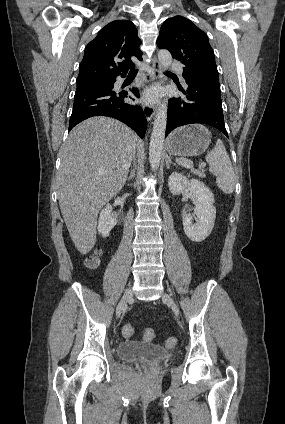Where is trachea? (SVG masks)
I'll return each mask as SVG.
<instances>
[{"label":"trachea","instance_id":"3493384b","mask_svg":"<svg viewBox=\"0 0 285 424\" xmlns=\"http://www.w3.org/2000/svg\"><path fill=\"white\" fill-rule=\"evenodd\" d=\"M137 69H135L134 67H130V72L129 74H137Z\"/></svg>","mask_w":285,"mask_h":424}]
</instances>
